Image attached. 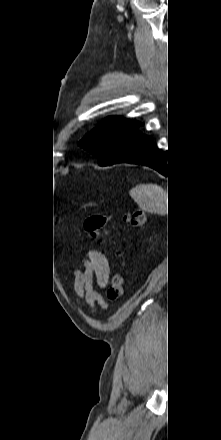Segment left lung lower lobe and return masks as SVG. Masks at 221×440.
<instances>
[{"mask_svg":"<svg viewBox=\"0 0 221 440\" xmlns=\"http://www.w3.org/2000/svg\"><path fill=\"white\" fill-rule=\"evenodd\" d=\"M139 125L124 155L115 163H130L149 166L159 171L161 174L170 177L172 173L170 160L167 163V155L155 148L150 136H146L138 131Z\"/></svg>","mask_w":221,"mask_h":440,"instance_id":"1","label":"left lung lower lobe"}]
</instances>
